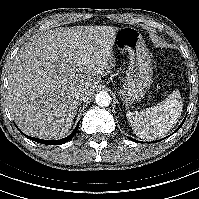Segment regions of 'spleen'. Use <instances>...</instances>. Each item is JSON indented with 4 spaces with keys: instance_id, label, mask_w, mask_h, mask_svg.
Segmentation results:
<instances>
[{
    "instance_id": "spleen-1",
    "label": "spleen",
    "mask_w": 199,
    "mask_h": 199,
    "mask_svg": "<svg viewBox=\"0 0 199 199\" xmlns=\"http://www.w3.org/2000/svg\"><path fill=\"white\" fill-rule=\"evenodd\" d=\"M182 107L181 94L177 90L156 106L140 112H127L126 117L139 138L154 140L165 136L176 125Z\"/></svg>"
}]
</instances>
